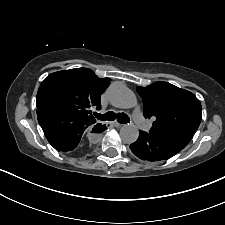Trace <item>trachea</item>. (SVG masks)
Instances as JSON below:
<instances>
[{"label":"trachea","instance_id":"3493384b","mask_svg":"<svg viewBox=\"0 0 225 225\" xmlns=\"http://www.w3.org/2000/svg\"><path fill=\"white\" fill-rule=\"evenodd\" d=\"M95 117L101 121H113L117 118V121L121 124L130 123L129 117L125 113H114L113 111L107 112L105 114L94 113Z\"/></svg>","mask_w":225,"mask_h":225}]
</instances>
